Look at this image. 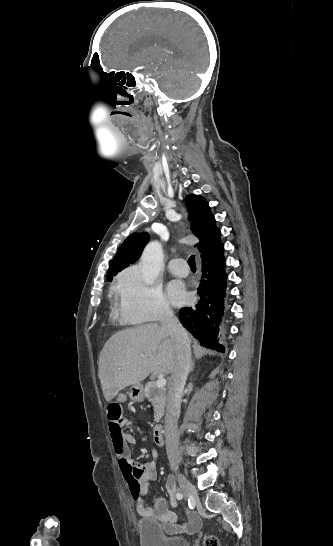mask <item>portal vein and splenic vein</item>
<instances>
[{"label": "portal vein and splenic vein", "instance_id": "obj_1", "mask_svg": "<svg viewBox=\"0 0 333 546\" xmlns=\"http://www.w3.org/2000/svg\"><path fill=\"white\" fill-rule=\"evenodd\" d=\"M156 385H157V387H159V388H163V387L166 385V379H165L164 377L159 378V379L156 381Z\"/></svg>", "mask_w": 333, "mask_h": 546}]
</instances>
